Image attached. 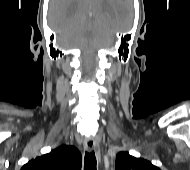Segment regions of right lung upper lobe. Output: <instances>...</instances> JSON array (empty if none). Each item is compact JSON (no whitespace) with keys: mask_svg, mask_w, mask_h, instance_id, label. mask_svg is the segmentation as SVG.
<instances>
[{"mask_svg":"<svg viewBox=\"0 0 190 170\" xmlns=\"http://www.w3.org/2000/svg\"><path fill=\"white\" fill-rule=\"evenodd\" d=\"M81 153L74 146L61 145L50 153L30 160L21 170H80Z\"/></svg>","mask_w":190,"mask_h":170,"instance_id":"obj_1","label":"right lung upper lobe"}]
</instances>
